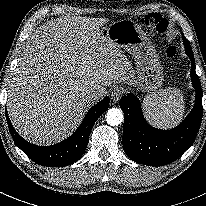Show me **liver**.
Here are the masks:
<instances>
[{"label": "liver", "mask_w": 206, "mask_h": 206, "mask_svg": "<svg viewBox=\"0 0 206 206\" xmlns=\"http://www.w3.org/2000/svg\"><path fill=\"white\" fill-rule=\"evenodd\" d=\"M105 22L67 15L42 24L26 42L7 110L27 141L50 145L65 139L95 103L92 92L132 84L135 72L127 56L100 31Z\"/></svg>", "instance_id": "obj_1"}]
</instances>
